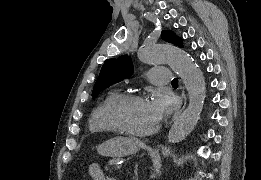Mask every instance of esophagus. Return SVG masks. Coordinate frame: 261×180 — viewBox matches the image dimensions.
I'll use <instances>...</instances> for the list:
<instances>
[{
  "label": "esophagus",
  "instance_id": "34e87169",
  "mask_svg": "<svg viewBox=\"0 0 261 180\" xmlns=\"http://www.w3.org/2000/svg\"><path fill=\"white\" fill-rule=\"evenodd\" d=\"M186 100H187L186 94H185L184 90H182V92H181V104H180L178 110L175 112L172 120H175L178 117V115L182 112V110L185 108Z\"/></svg>",
  "mask_w": 261,
  "mask_h": 180
}]
</instances>
